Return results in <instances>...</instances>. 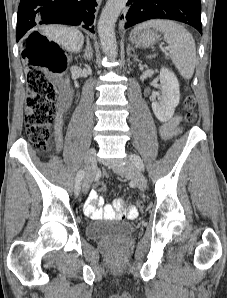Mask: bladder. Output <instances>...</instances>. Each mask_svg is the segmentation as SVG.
Listing matches in <instances>:
<instances>
[{"mask_svg":"<svg viewBox=\"0 0 227 298\" xmlns=\"http://www.w3.org/2000/svg\"><path fill=\"white\" fill-rule=\"evenodd\" d=\"M135 230L134 224L120 220H101L86 227L90 239H114L130 235Z\"/></svg>","mask_w":227,"mask_h":298,"instance_id":"1","label":"bladder"}]
</instances>
